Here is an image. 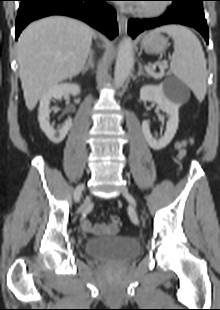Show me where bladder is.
I'll return each mask as SVG.
<instances>
[{
  "label": "bladder",
  "mask_w": 220,
  "mask_h": 310,
  "mask_svg": "<svg viewBox=\"0 0 220 310\" xmlns=\"http://www.w3.org/2000/svg\"><path fill=\"white\" fill-rule=\"evenodd\" d=\"M84 248L89 256L104 262H129L141 252L138 241L124 236L89 239Z\"/></svg>",
  "instance_id": "obj_1"
}]
</instances>
